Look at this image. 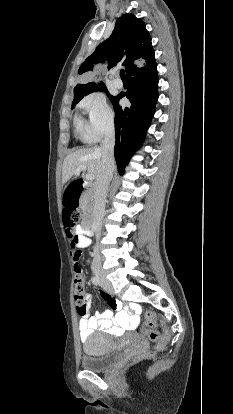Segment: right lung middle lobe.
Masks as SVG:
<instances>
[{
    "label": "right lung middle lobe",
    "mask_w": 233,
    "mask_h": 414,
    "mask_svg": "<svg viewBox=\"0 0 233 414\" xmlns=\"http://www.w3.org/2000/svg\"><path fill=\"white\" fill-rule=\"evenodd\" d=\"M100 89H103L106 93H107V95H108V97L110 98V100L111 101H113V99L115 98L114 96H112V95H110L109 93H108V91H107V89L105 88V86H100ZM94 91H98V87H96V88H94V89H92L91 91H89V92H87L85 95H87V94H89V93H91V92H94ZM81 99H79V100H76V101H73V103H72V109L75 107V105L80 101Z\"/></svg>",
    "instance_id": "obj_1"
}]
</instances>
